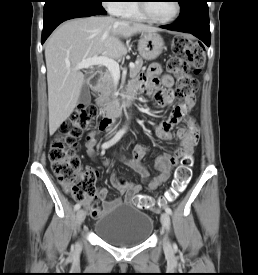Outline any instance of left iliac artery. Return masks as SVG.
<instances>
[{
	"instance_id": "left-iliac-artery-1",
	"label": "left iliac artery",
	"mask_w": 258,
	"mask_h": 275,
	"mask_svg": "<svg viewBox=\"0 0 258 275\" xmlns=\"http://www.w3.org/2000/svg\"><path fill=\"white\" fill-rule=\"evenodd\" d=\"M164 209H165L166 213H168L169 215L172 214V210L170 207L166 206Z\"/></svg>"
}]
</instances>
